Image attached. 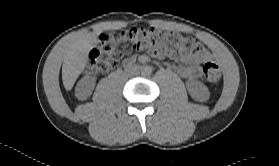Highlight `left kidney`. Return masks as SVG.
I'll return each mask as SVG.
<instances>
[{
    "label": "left kidney",
    "instance_id": "1",
    "mask_svg": "<svg viewBox=\"0 0 279 166\" xmlns=\"http://www.w3.org/2000/svg\"><path fill=\"white\" fill-rule=\"evenodd\" d=\"M186 87L190 96L197 101H204L209 98L208 88L200 81H187Z\"/></svg>",
    "mask_w": 279,
    "mask_h": 166
}]
</instances>
